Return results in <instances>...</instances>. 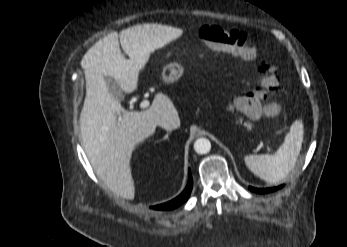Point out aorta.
<instances>
[{
	"instance_id": "obj_1",
	"label": "aorta",
	"mask_w": 347,
	"mask_h": 247,
	"mask_svg": "<svg viewBox=\"0 0 347 247\" xmlns=\"http://www.w3.org/2000/svg\"><path fill=\"white\" fill-rule=\"evenodd\" d=\"M194 150L198 154H207L211 150V143L206 138H198L194 142Z\"/></svg>"
}]
</instances>
